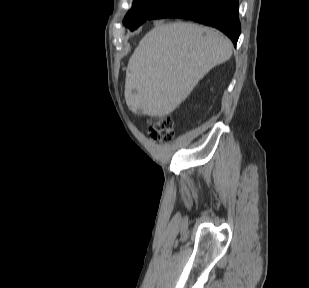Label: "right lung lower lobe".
Instances as JSON below:
<instances>
[{
	"mask_svg": "<svg viewBox=\"0 0 309 288\" xmlns=\"http://www.w3.org/2000/svg\"><path fill=\"white\" fill-rule=\"evenodd\" d=\"M185 18L215 27L234 43L240 35L238 0H173L149 19Z\"/></svg>",
	"mask_w": 309,
	"mask_h": 288,
	"instance_id": "1",
	"label": "right lung lower lobe"
}]
</instances>
